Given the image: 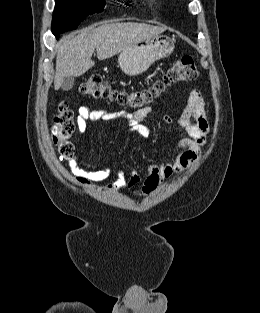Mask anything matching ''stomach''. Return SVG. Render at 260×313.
I'll return each mask as SVG.
<instances>
[{
	"instance_id": "0dacf381",
	"label": "stomach",
	"mask_w": 260,
	"mask_h": 313,
	"mask_svg": "<svg viewBox=\"0 0 260 313\" xmlns=\"http://www.w3.org/2000/svg\"><path fill=\"white\" fill-rule=\"evenodd\" d=\"M175 42L168 36L158 35L148 40L135 43L123 50L118 63L122 71L129 76L140 75L156 60L172 54Z\"/></svg>"
}]
</instances>
